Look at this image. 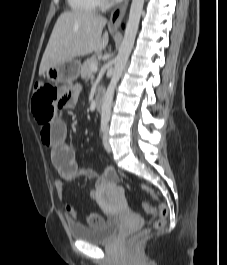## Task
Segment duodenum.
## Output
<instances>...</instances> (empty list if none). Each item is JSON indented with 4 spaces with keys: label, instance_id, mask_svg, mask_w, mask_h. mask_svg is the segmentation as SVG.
<instances>
[{
    "label": "duodenum",
    "instance_id": "duodenum-1",
    "mask_svg": "<svg viewBox=\"0 0 227 265\" xmlns=\"http://www.w3.org/2000/svg\"><path fill=\"white\" fill-rule=\"evenodd\" d=\"M94 105H95L96 111L100 112L102 109V105H103V91L102 90L98 91L95 101H94Z\"/></svg>",
    "mask_w": 227,
    "mask_h": 265
}]
</instances>
